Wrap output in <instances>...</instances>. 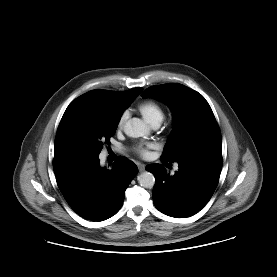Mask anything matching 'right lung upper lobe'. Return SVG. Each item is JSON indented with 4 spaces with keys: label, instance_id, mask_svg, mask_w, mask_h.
Masks as SVG:
<instances>
[{
    "label": "right lung upper lobe",
    "instance_id": "obj_1",
    "mask_svg": "<svg viewBox=\"0 0 277 277\" xmlns=\"http://www.w3.org/2000/svg\"><path fill=\"white\" fill-rule=\"evenodd\" d=\"M142 91V88H134L128 91L119 92V91H104V90H93L90 91L95 94L97 100L100 102L106 103H123V104H130L131 101ZM127 108V107H126ZM125 108V109H126ZM75 153L70 150L66 144L60 138L59 133H57L55 138V146H54V154L61 155V154H69Z\"/></svg>",
    "mask_w": 277,
    "mask_h": 277
}]
</instances>
